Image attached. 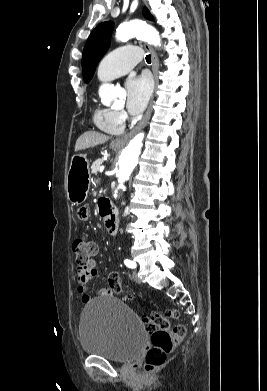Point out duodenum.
I'll use <instances>...</instances> for the list:
<instances>
[{
    "label": "duodenum",
    "instance_id": "410a0bca",
    "mask_svg": "<svg viewBox=\"0 0 267 391\" xmlns=\"http://www.w3.org/2000/svg\"><path fill=\"white\" fill-rule=\"evenodd\" d=\"M100 213L103 216L105 229L110 234H115L118 229V220L113 214L109 212V208L105 202L100 203Z\"/></svg>",
    "mask_w": 267,
    "mask_h": 391
}]
</instances>
